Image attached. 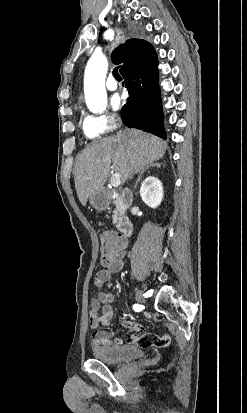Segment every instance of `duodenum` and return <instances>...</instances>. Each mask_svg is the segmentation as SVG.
Masks as SVG:
<instances>
[{
  "mask_svg": "<svg viewBox=\"0 0 247 413\" xmlns=\"http://www.w3.org/2000/svg\"><path fill=\"white\" fill-rule=\"evenodd\" d=\"M119 198V208L125 209L131 206L133 202V194L128 188H121L117 192ZM118 229L124 236H131L133 233V224L127 218H121L118 222Z\"/></svg>",
  "mask_w": 247,
  "mask_h": 413,
  "instance_id": "duodenum-1",
  "label": "duodenum"
}]
</instances>
